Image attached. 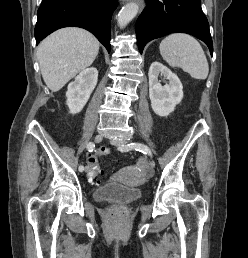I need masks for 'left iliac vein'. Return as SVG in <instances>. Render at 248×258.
I'll return each instance as SVG.
<instances>
[{
  "mask_svg": "<svg viewBox=\"0 0 248 258\" xmlns=\"http://www.w3.org/2000/svg\"><path fill=\"white\" fill-rule=\"evenodd\" d=\"M110 143L116 147H121L126 145V141L124 139H111ZM150 168L153 169L155 167V162L153 160L150 161Z\"/></svg>",
  "mask_w": 248,
  "mask_h": 258,
  "instance_id": "obj_1",
  "label": "left iliac vein"
}]
</instances>
